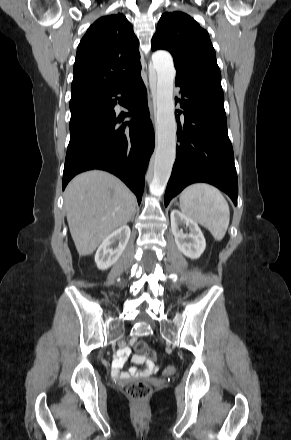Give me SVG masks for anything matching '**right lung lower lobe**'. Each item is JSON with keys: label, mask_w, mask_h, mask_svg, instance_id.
<instances>
[{"label": "right lung lower lobe", "mask_w": 291, "mask_h": 440, "mask_svg": "<svg viewBox=\"0 0 291 440\" xmlns=\"http://www.w3.org/2000/svg\"><path fill=\"white\" fill-rule=\"evenodd\" d=\"M129 110L117 116L113 97ZM70 142L63 171L62 189L78 173L102 169L119 177L140 204L144 176L154 150V131L141 75L108 92L72 97ZM130 122L119 125L125 117Z\"/></svg>", "instance_id": "right-lung-lower-lobe-1"}]
</instances>
